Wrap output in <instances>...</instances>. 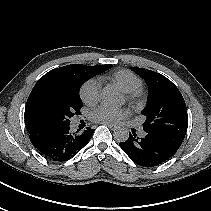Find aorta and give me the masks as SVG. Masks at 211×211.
Listing matches in <instances>:
<instances>
[{"label":"aorta","instance_id":"1","mask_svg":"<svg viewBox=\"0 0 211 211\" xmlns=\"http://www.w3.org/2000/svg\"><path fill=\"white\" fill-rule=\"evenodd\" d=\"M101 100L107 106H120L123 103V98L115 91L105 88L101 92ZM113 136L118 142H125L129 138V131L127 128L120 127L116 129Z\"/></svg>","mask_w":211,"mask_h":211}]
</instances>
